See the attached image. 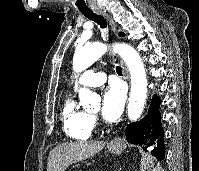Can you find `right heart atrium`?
Wrapping results in <instances>:
<instances>
[{"label": "right heart atrium", "mask_w": 199, "mask_h": 171, "mask_svg": "<svg viewBox=\"0 0 199 171\" xmlns=\"http://www.w3.org/2000/svg\"><path fill=\"white\" fill-rule=\"evenodd\" d=\"M91 119H92V123L94 125L96 123V118L94 116H91Z\"/></svg>", "instance_id": "obj_1"}]
</instances>
